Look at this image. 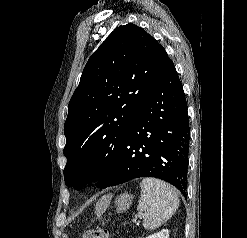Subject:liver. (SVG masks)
Instances as JSON below:
<instances>
[{"label": "liver", "instance_id": "liver-1", "mask_svg": "<svg viewBox=\"0 0 247 238\" xmlns=\"http://www.w3.org/2000/svg\"><path fill=\"white\" fill-rule=\"evenodd\" d=\"M110 198H111V195L103 196V197L96 203V207H95V213H96V214L102 213L103 209H104L105 206L108 204Z\"/></svg>", "mask_w": 247, "mask_h": 238}]
</instances>
